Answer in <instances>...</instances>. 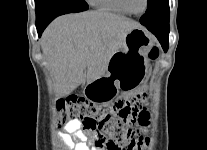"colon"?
Instances as JSON below:
<instances>
[{"instance_id": "obj_1", "label": "colon", "mask_w": 207, "mask_h": 150, "mask_svg": "<svg viewBox=\"0 0 207 150\" xmlns=\"http://www.w3.org/2000/svg\"><path fill=\"white\" fill-rule=\"evenodd\" d=\"M159 54V48L154 47L149 58L156 60ZM143 98V93H137L107 105L83 97L69 96L61 99L56 106V123L61 125L68 120H80L85 131L98 136L95 145L102 150H144L147 140L140 132H150V127L146 125L153 118L145 112ZM141 122L145 125L140 127V131L132 127L141 125Z\"/></svg>"}]
</instances>
